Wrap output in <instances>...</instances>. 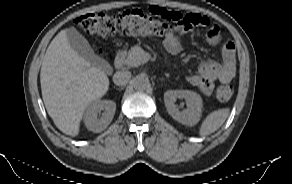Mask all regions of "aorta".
Segmentation results:
<instances>
[{
	"mask_svg": "<svg viewBox=\"0 0 292 184\" xmlns=\"http://www.w3.org/2000/svg\"><path fill=\"white\" fill-rule=\"evenodd\" d=\"M150 86L149 79L146 75L140 74L133 79V87L138 91H144Z\"/></svg>",
	"mask_w": 292,
	"mask_h": 184,
	"instance_id": "762f6f07",
	"label": "aorta"
}]
</instances>
